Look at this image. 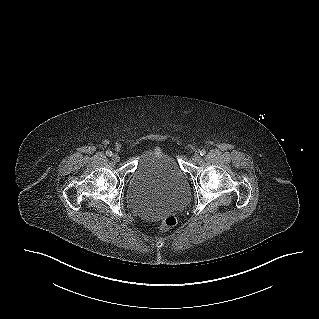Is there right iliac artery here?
<instances>
[{
    "label": "right iliac artery",
    "mask_w": 319,
    "mask_h": 319,
    "mask_svg": "<svg viewBox=\"0 0 319 319\" xmlns=\"http://www.w3.org/2000/svg\"><path fill=\"white\" fill-rule=\"evenodd\" d=\"M106 155L109 156V157L112 156V151L108 150V151L106 152Z\"/></svg>",
    "instance_id": "82829eb1"
}]
</instances>
